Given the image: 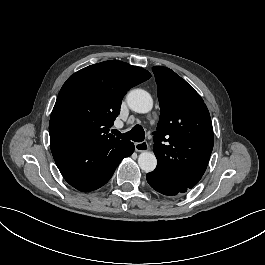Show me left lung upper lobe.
Wrapping results in <instances>:
<instances>
[{
	"label": "left lung upper lobe",
	"mask_w": 265,
	"mask_h": 265,
	"mask_svg": "<svg viewBox=\"0 0 265 265\" xmlns=\"http://www.w3.org/2000/svg\"><path fill=\"white\" fill-rule=\"evenodd\" d=\"M152 70L160 103L153 133L156 169L191 189L202 178L213 149L210 114L200 95L174 71L162 66Z\"/></svg>",
	"instance_id": "5c2ea615"
}]
</instances>
